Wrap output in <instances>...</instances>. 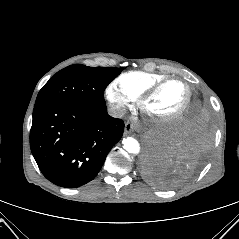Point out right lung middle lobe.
Listing matches in <instances>:
<instances>
[{"label":"right lung middle lobe","mask_w":239,"mask_h":239,"mask_svg":"<svg viewBox=\"0 0 239 239\" xmlns=\"http://www.w3.org/2000/svg\"><path fill=\"white\" fill-rule=\"evenodd\" d=\"M120 73L121 70L114 67L68 66L43 86L35 107L54 103L106 105L103 93L109 82Z\"/></svg>","instance_id":"right-lung-middle-lobe-1"}]
</instances>
